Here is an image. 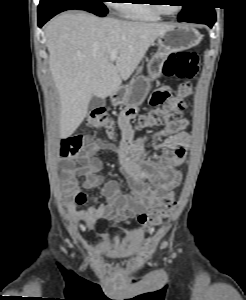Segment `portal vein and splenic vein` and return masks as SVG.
Masks as SVG:
<instances>
[{"mask_svg": "<svg viewBox=\"0 0 246 300\" xmlns=\"http://www.w3.org/2000/svg\"><path fill=\"white\" fill-rule=\"evenodd\" d=\"M118 57V50H112L110 53V60L111 61H115Z\"/></svg>", "mask_w": 246, "mask_h": 300, "instance_id": "18ae733b", "label": "portal vein and splenic vein"}]
</instances>
